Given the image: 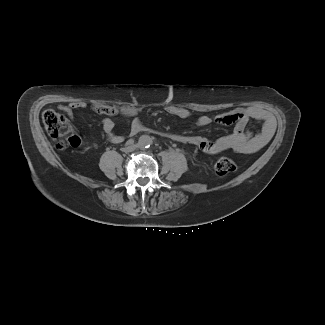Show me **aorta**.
<instances>
[{"label": "aorta", "mask_w": 325, "mask_h": 325, "mask_svg": "<svg viewBox=\"0 0 325 325\" xmlns=\"http://www.w3.org/2000/svg\"><path fill=\"white\" fill-rule=\"evenodd\" d=\"M152 138L149 135H141L138 144L141 148H148L152 145Z\"/></svg>", "instance_id": "1"}]
</instances>
